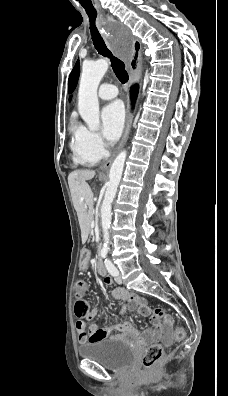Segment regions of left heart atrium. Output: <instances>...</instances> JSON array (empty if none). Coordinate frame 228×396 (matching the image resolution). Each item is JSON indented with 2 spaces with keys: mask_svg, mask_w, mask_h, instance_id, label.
<instances>
[{
  "mask_svg": "<svg viewBox=\"0 0 228 396\" xmlns=\"http://www.w3.org/2000/svg\"><path fill=\"white\" fill-rule=\"evenodd\" d=\"M103 134L109 142H115L121 135L125 110L121 102L115 101L108 104L101 113Z\"/></svg>",
  "mask_w": 228,
  "mask_h": 396,
  "instance_id": "left-heart-atrium-1",
  "label": "left heart atrium"
}]
</instances>
